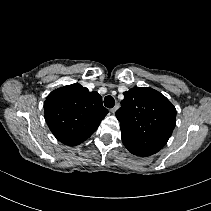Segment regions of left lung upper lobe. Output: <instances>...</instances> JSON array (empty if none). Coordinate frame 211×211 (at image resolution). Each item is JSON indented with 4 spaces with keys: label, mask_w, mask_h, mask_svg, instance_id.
Instances as JSON below:
<instances>
[{
    "label": "left lung upper lobe",
    "mask_w": 211,
    "mask_h": 211,
    "mask_svg": "<svg viewBox=\"0 0 211 211\" xmlns=\"http://www.w3.org/2000/svg\"><path fill=\"white\" fill-rule=\"evenodd\" d=\"M116 117L121 122L125 147L134 155L146 157L167 143L175 128L176 109L160 92L135 87L124 92Z\"/></svg>",
    "instance_id": "1"
}]
</instances>
